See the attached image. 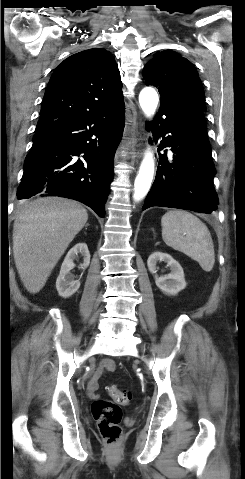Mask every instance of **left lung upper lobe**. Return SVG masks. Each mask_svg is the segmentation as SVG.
Masks as SVG:
<instances>
[{
	"instance_id": "1",
	"label": "left lung upper lobe",
	"mask_w": 245,
	"mask_h": 479,
	"mask_svg": "<svg viewBox=\"0 0 245 479\" xmlns=\"http://www.w3.org/2000/svg\"><path fill=\"white\" fill-rule=\"evenodd\" d=\"M146 85L159 88L161 104L195 105L205 111L204 92L195 67L178 53L156 52L144 67Z\"/></svg>"
}]
</instances>
